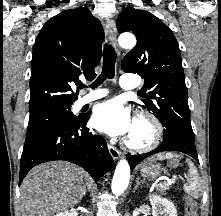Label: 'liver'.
<instances>
[{
  "instance_id": "1",
  "label": "liver",
  "mask_w": 221,
  "mask_h": 216,
  "mask_svg": "<svg viewBox=\"0 0 221 216\" xmlns=\"http://www.w3.org/2000/svg\"><path fill=\"white\" fill-rule=\"evenodd\" d=\"M87 174L65 161L34 167L21 184L22 216H52L80 203Z\"/></svg>"
}]
</instances>
